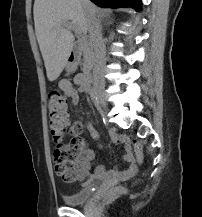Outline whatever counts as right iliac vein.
<instances>
[{
  "mask_svg": "<svg viewBox=\"0 0 202 217\" xmlns=\"http://www.w3.org/2000/svg\"><path fill=\"white\" fill-rule=\"evenodd\" d=\"M96 97H97L99 104L103 108V110H106L107 109V102H106L104 95L102 93H97Z\"/></svg>",
  "mask_w": 202,
  "mask_h": 217,
  "instance_id": "1",
  "label": "right iliac vein"
}]
</instances>
